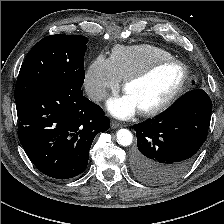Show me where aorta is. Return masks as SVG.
Wrapping results in <instances>:
<instances>
[{"instance_id":"obj_1","label":"aorta","mask_w":224,"mask_h":224,"mask_svg":"<svg viewBox=\"0 0 224 224\" xmlns=\"http://www.w3.org/2000/svg\"><path fill=\"white\" fill-rule=\"evenodd\" d=\"M117 142L122 146H128L132 143L133 135L128 129H120L117 131Z\"/></svg>"}]
</instances>
